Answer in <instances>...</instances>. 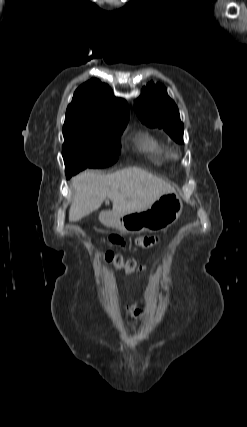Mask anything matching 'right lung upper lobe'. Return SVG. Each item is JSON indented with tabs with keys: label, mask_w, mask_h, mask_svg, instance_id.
I'll use <instances>...</instances> for the list:
<instances>
[{
	"label": "right lung upper lobe",
	"mask_w": 247,
	"mask_h": 427,
	"mask_svg": "<svg viewBox=\"0 0 247 427\" xmlns=\"http://www.w3.org/2000/svg\"><path fill=\"white\" fill-rule=\"evenodd\" d=\"M65 119H77L103 127L126 126L129 108L123 99L113 96L107 84L91 79L75 91Z\"/></svg>",
	"instance_id": "1"
}]
</instances>
